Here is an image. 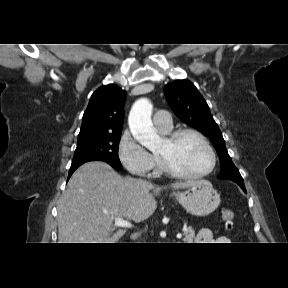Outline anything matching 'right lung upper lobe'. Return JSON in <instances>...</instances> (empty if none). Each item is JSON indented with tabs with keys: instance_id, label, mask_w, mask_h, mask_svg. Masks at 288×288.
Listing matches in <instances>:
<instances>
[{
	"instance_id": "1",
	"label": "right lung upper lobe",
	"mask_w": 288,
	"mask_h": 288,
	"mask_svg": "<svg viewBox=\"0 0 288 288\" xmlns=\"http://www.w3.org/2000/svg\"><path fill=\"white\" fill-rule=\"evenodd\" d=\"M126 92L114 84L99 87L83 115L78 140L122 131Z\"/></svg>"
}]
</instances>
